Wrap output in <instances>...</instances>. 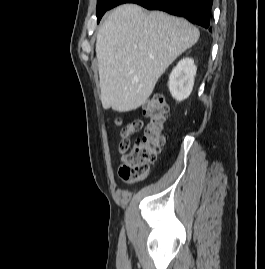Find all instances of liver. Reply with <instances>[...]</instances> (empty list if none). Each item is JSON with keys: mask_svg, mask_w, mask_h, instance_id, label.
Returning <instances> with one entry per match:
<instances>
[{"mask_svg": "<svg viewBox=\"0 0 265 269\" xmlns=\"http://www.w3.org/2000/svg\"><path fill=\"white\" fill-rule=\"evenodd\" d=\"M185 19L136 4L114 9L96 41L104 109L128 112L145 104L169 65L199 39Z\"/></svg>", "mask_w": 265, "mask_h": 269, "instance_id": "obj_1", "label": "liver"}]
</instances>
